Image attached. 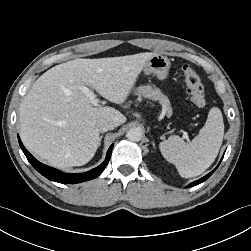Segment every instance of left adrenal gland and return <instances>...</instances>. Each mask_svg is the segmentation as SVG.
<instances>
[{
  "instance_id": "obj_1",
  "label": "left adrenal gland",
  "mask_w": 251,
  "mask_h": 251,
  "mask_svg": "<svg viewBox=\"0 0 251 251\" xmlns=\"http://www.w3.org/2000/svg\"><path fill=\"white\" fill-rule=\"evenodd\" d=\"M153 146H154V148H155V143L153 142Z\"/></svg>"
}]
</instances>
